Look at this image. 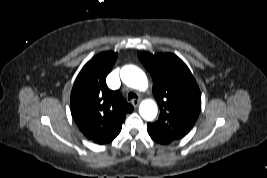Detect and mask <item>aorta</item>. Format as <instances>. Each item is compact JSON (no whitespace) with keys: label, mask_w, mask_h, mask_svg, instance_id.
I'll use <instances>...</instances> for the list:
<instances>
[{"label":"aorta","mask_w":267,"mask_h":178,"mask_svg":"<svg viewBox=\"0 0 267 178\" xmlns=\"http://www.w3.org/2000/svg\"><path fill=\"white\" fill-rule=\"evenodd\" d=\"M122 81L129 87L144 91L148 87L146 74L134 65H127L121 69ZM157 105L153 100H144L139 106V113L147 121L153 120L157 115Z\"/></svg>","instance_id":"762f6f07"}]
</instances>
